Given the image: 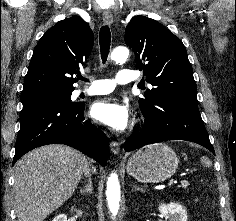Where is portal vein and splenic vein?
Here are the masks:
<instances>
[{
  "label": "portal vein and splenic vein",
  "mask_w": 236,
  "mask_h": 221,
  "mask_svg": "<svg viewBox=\"0 0 236 221\" xmlns=\"http://www.w3.org/2000/svg\"><path fill=\"white\" fill-rule=\"evenodd\" d=\"M187 183L188 182L186 180H184V181L181 182V185L182 186H187L188 185ZM173 184H175L174 181H169L168 186L171 187Z\"/></svg>",
  "instance_id": "1"
}]
</instances>
